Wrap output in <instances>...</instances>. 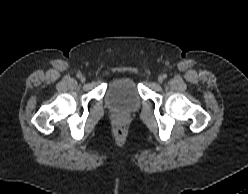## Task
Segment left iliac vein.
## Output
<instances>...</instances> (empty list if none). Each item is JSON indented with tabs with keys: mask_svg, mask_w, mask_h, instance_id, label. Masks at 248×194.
<instances>
[{
	"mask_svg": "<svg viewBox=\"0 0 248 194\" xmlns=\"http://www.w3.org/2000/svg\"><path fill=\"white\" fill-rule=\"evenodd\" d=\"M158 81H159V82H162V81H163V77L160 76V77L158 78Z\"/></svg>",
	"mask_w": 248,
	"mask_h": 194,
	"instance_id": "1",
	"label": "left iliac vein"
}]
</instances>
